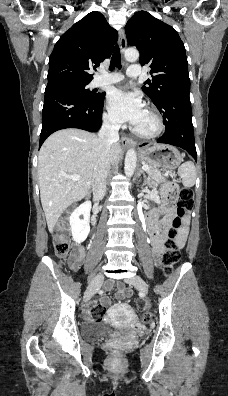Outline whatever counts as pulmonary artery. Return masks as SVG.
Listing matches in <instances>:
<instances>
[{"mask_svg":"<svg viewBox=\"0 0 228 396\" xmlns=\"http://www.w3.org/2000/svg\"><path fill=\"white\" fill-rule=\"evenodd\" d=\"M126 74L128 77H132V78L139 77L141 75L140 67L138 65H130ZM123 78L124 76L121 73H111V74L103 73L95 77L93 84L95 86L115 84L122 81Z\"/></svg>","mask_w":228,"mask_h":396,"instance_id":"pulmonary-artery-1","label":"pulmonary artery"}]
</instances>
